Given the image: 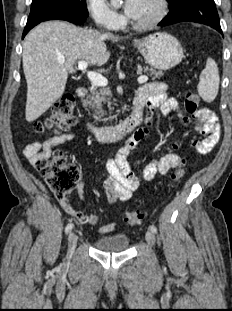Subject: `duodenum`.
Masks as SVG:
<instances>
[{"mask_svg":"<svg viewBox=\"0 0 232 311\" xmlns=\"http://www.w3.org/2000/svg\"><path fill=\"white\" fill-rule=\"evenodd\" d=\"M79 97L87 94V87L80 85L76 91ZM144 102L136 97L133 101V113L122 123L114 126H93L89 125L88 130L96 137L99 142H111L124 140L142 119V109Z\"/></svg>","mask_w":232,"mask_h":311,"instance_id":"1","label":"duodenum"}]
</instances>
